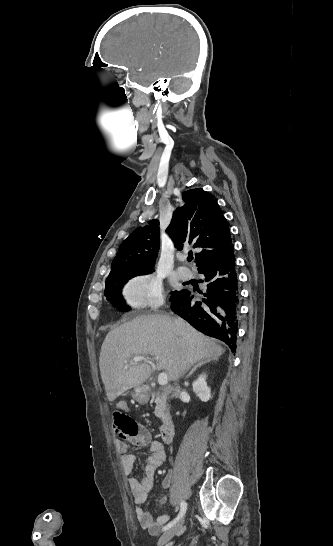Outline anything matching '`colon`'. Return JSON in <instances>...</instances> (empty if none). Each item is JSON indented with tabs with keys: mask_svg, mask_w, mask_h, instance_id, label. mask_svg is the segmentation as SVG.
<instances>
[{
	"mask_svg": "<svg viewBox=\"0 0 333 546\" xmlns=\"http://www.w3.org/2000/svg\"><path fill=\"white\" fill-rule=\"evenodd\" d=\"M113 428L121 440L127 439L135 432L134 423L120 411H114L112 414Z\"/></svg>",
	"mask_w": 333,
	"mask_h": 546,
	"instance_id": "1",
	"label": "colon"
}]
</instances>
